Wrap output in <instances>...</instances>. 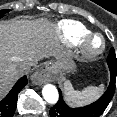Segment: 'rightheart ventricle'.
<instances>
[{
  "instance_id": "right-heart-ventricle-1",
  "label": "right heart ventricle",
  "mask_w": 117,
  "mask_h": 117,
  "mask_svg": "<svg viewBox=\"0 0 117 117\" xmlns=\"http://www.w3.org/2000/svg\"><path fill=\"white\" fill-rule=\"evenodd\" d=\"M58 30L62 40L69 45H78L80 41L91 33L81 22L74 20H63L58 24Z\"/></svg>"
}]
</instances>
